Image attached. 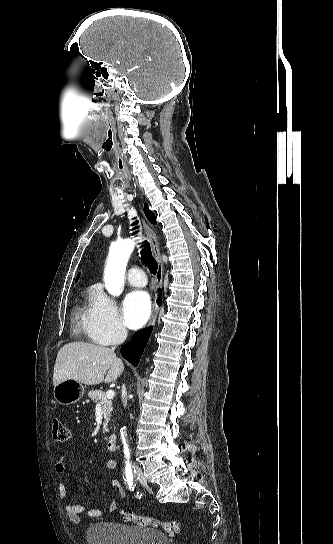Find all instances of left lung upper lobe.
<instances>
[{"instance_id":"obj_1","label":"left lung upper lobe","mask_w":333,"mask_h":544,"mask_svg":"<svg viewBox=\"0 0 333 544\" xmlns=\"http://www.w3.org/2000/svg\"><path fill=\"white\" fill-rule=\"evenodd\" d=\"M144 211H145V214H146L148 220H149L151 223L156 224L155 215L148 209V205H147V204L144 205Z\"/></svg>"}]
</instances>
